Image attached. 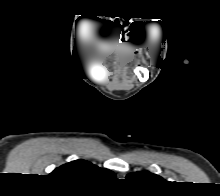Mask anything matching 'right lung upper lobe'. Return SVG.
<instances>
[{
	"instance_id": "1",
	"label": "right lung upper lobe",
	"mask_w": 220,
	"mask_h": 196,
	"mask_svg": "<svg viewBox=\"0 0 220 196\" xmlns=\"http://www.w3.org/2000/svg\"><path fill=\"white\" fill-rule=\"evenodd\" d=\"M50 175L57 178H66L81 184H94L100 180L115 177L112 171L99 168L85 160H76L64 164L56 168Z\"/></svg>"
}]
</instances>
